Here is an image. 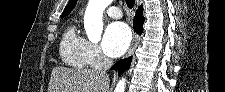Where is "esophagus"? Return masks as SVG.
<instances>
[{"mask_svg":"<svg viewBox=\"0 0 225 92\" xmlns=\"http://www.w3.org/2000/svg\"><path fill=\"white\" fill-rule=\"evenodd\" d=\"M137 41H138V37L137 35L135 34L134 37H133V41H132V44L127 52V56L131 55L132 52L135 50L136 46H137Z\"/></svg>","mask_w":225,"mask_h":92,"instance_id":"1","label":"esophagus"}]
</instances>
